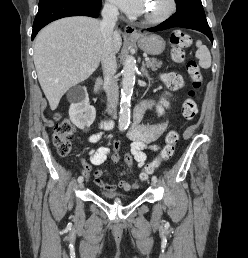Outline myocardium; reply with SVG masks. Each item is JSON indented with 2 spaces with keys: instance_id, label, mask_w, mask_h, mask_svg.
Returning <instances> with one entry per match:
<instances>
[{
  "instance_id": "obj_1",
  "label": "myocardium",
  "mask_w": 248,
  "mask_h": 258,
  "mask_svg": "<svg viewBox=\"0 0 248 258\" xmlns=\"http://www.w3.org/2000/svg\"><path fill=\"white\" fill-rule=\"evenodd\" d=\"M177 8V1L176 0H167V7L164 11H162L160 14L156 16H148L144 17V21L148 24H159L167 19H169Z\"/></svg>"
}]
</instances>
